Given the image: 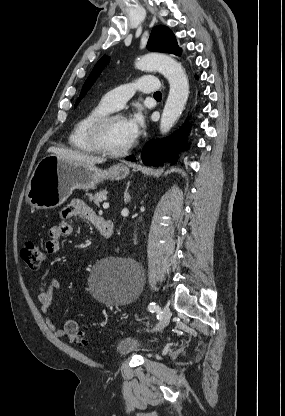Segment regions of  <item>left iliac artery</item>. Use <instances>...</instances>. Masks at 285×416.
<instances>
[{"label": "left iliac artery", "instance_id": "left-iliac-artery-1", "mask_svg": "<svg viewBox=\"0 0 285 416\" xmlns=\"http://www.w3.org/2000/svg\"><path fill=\"white\" fill-rule=\"evenodd\" d=\"M159 309V306L157 305V303H155V302H151L149 305H148V310L150 311V312H155V311H157Z\"/></svg>", "mask_w": 285, "mask_h": 416}]
</instances>
